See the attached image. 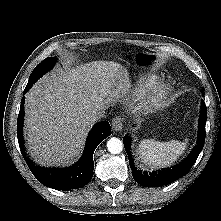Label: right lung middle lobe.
Segmentation results:
<instances>
[{
	"label": "right lung middle lobe",
	"instance_id": "1",
	"mask_svg": "<svg viewBox=\"0 0 221 221\" xmlns=\"http://www.w3.org/2000/svg\"><path fill=\"white\" fill-rule=\"evenodd\" d=\"M55 60L56 58L54 57H48L44 59L39 65H37L29 77L27 86H32L39 77L49 71L54 66Z\"/></svg>",
	"mask_w": 221,
	"mask_h": 221
}]
</instances>
